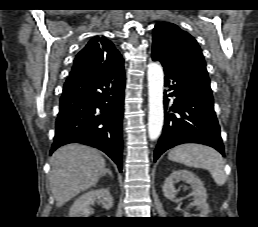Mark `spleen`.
Masks as SVG:
<instances>
[{"mask_svg":"<svg viewBox=\"0 0 258 227\" xmlns=\"http://www.w3.org/2000/svg\"><path fill=\"white\" fill-rule=\"evenodd\" d=\"M168 159L189 167L208 170L219 186L226 182L224 160L221 154L208 146L199 144L179 145L170 150Z\"/></svg>","mask_w":258,"mask_h":227,"instance_id":"obj_1","label":"spleen"}]
</instances>
